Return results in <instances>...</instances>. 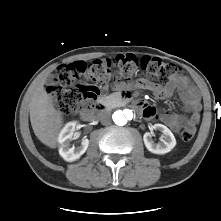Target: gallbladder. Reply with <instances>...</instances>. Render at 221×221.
<instances>
[{
  "label": "gallbladder",
  "mask_w": 221,
  "mask_h": 221,
  "mask_svg": "<svg viewBox=\"0 0 221 221\" xmlns=\"http://www.w3.org/2000/svg\"><path fill=\"white\" fill-rule=\"evenodd\" d=\"M47 83H49V84H53L54 83V75L48 76Z\"/></svg>",
  "instance_id": "bac80fb5"
}]
</instances>
